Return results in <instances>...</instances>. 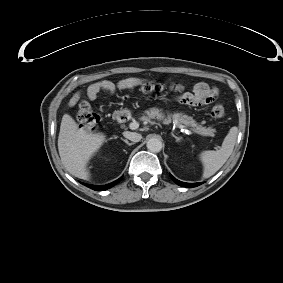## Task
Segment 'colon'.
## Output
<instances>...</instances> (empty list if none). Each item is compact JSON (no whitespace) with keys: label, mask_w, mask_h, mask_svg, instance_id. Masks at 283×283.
Segmentation results:
<instances>
[{"label":"colon","mask_w":283,"mask_h":283,"mask_svg":"<svg viewBox=\"0 0 283 283\" xmlns=\"http://www.w3.org/2000/svg\"><path fill=\"white\" fill-rule=\"evenodd\" d=\"M213 119H221L225 116V108L221 104H216L211 109ZM99 116L94 113L87 103H81L78 110V127L82 134H88L96 129Z\"/></svg>","instance_id":"5ec220e1"}]
</instances>
